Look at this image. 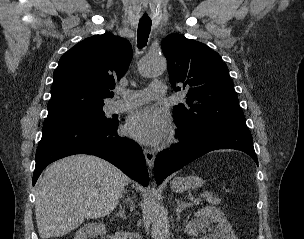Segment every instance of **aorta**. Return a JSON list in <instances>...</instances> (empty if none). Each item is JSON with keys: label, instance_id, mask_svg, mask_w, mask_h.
<instances>
[{"label": "aorta", "instance_id": "762f6f07", "mask_svg": "<svg viewBox=\"0 0 304 239\" xmlns=\"http://www.w3.org/2000/svg\"><path fill=\"white\" fill-rule=\"evenodd\" d=\"M167 67L166 59L161 55L147 56L140 64V74L144 77L161 75ZM148 211L152 225L151 236L153 239H170L169 221L167 213L159 204L154 194L150 195Z\"/></svg>", "mask_w": 304, "mask_h": 239}]
</instances>
